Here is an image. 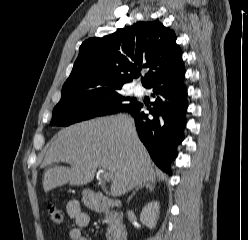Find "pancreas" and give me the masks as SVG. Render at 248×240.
<instances>
[{
	"label": "pancreas",
	"instance_id": "pancreas-1",
	"mask_svg": "<svg viewBox=\"0 0 248 240\" xmlns=\"http://www.w3.org/2000/svg\"><path fill=\"white\" fill-rule=\"evenodd\" d=\"M105 222L108 224L106 238L107 240H114V238L118 234L119 226L121 224L119 214L116 212L107 214L105 216Z\"/></svg>",
	"mask_w": 248,
	"mask_h": 240
}]
</instances>
